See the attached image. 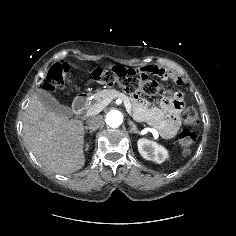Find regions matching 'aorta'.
<instances>
[{
	"label": "aorta",
	"mask_w": 236,
	"mask_h": 236,
	"mask_svg": "<svg viewBox=\"0 0 236 236\" xmlns=\"http://www.w3.org/2000/svg\"><path fill=\"white\" fill-rule=\"evenodd\" d=\"M123 122V115L118 110L110 111L106 116V124L109 127L116 128L119 127Z\"/></svg>",
	"instance_id": "1"
}]
</instances>
